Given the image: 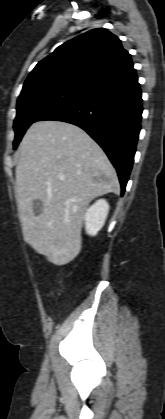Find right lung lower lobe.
Instances as JSON below:
<instances>
[{"instance_id": "1", "label": "right lung lower lobe", "mask_w": 165, "mask_h": 419, "mask_svg": "<svg viewBox=\"0 0 165 419\" xmlns=\"http://www.w3.org/2000/svg\"><path fill=\"white\" fill-rule=\"evenodd\" d=\"M142 94L133 68L124 76L55 108L38 121L58 120L84 129L106 152L124 194L141 129Z\"/></svg>"}]
</instances>
